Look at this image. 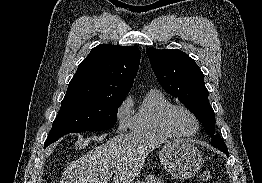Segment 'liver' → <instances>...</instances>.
Wrapping results in <instances>:
<instances>
[{
  "label": "liver",
  "instance_id": "6515ba94",
  "mask_svg": "<svg viewBox=\"0 0 262 183\" xmlns=\"http://www.w3.org/2000/svg\"><path fill=\"white\" fill-rule=\"evenodd\" d=\"M156 136L119 134L69 163L61 183H132L140 173L147 155L165 143Z\"/></svg>",
  "mask_w": 262,
  "mask_h": 183
}]
</instances>
